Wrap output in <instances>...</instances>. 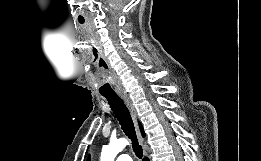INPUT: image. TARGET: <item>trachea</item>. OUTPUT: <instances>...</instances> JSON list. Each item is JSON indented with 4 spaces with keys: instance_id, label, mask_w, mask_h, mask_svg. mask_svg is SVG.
I'll return each mask as SVG.
<instances>
[{
    "instance_id": "obj_1",
    "label": "trachea",
    "mask_w": 261,
    "mask_h": 161,
    "mask_svg": "<svg viewBox=\"0 0 261 161\" xmlns=\"http://www.w3.org/2000/svg\"><path fill=\"white\" fill-rule=\"evenodd\" d=\"M103 96L107 99L125 135L128 136V138L132 141V148L135 155L139 159H141L143 156V150L136 138L134 124L128 108L126 107L123 100L118 95H103Z\"/></svg>"
}]
</instances>
